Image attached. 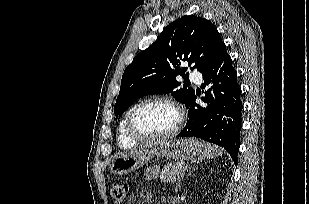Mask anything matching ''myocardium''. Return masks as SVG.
Here are the masks:
<instances>
[{"label": "myocardium", "mask_w": 309, "mask_h": 204, "mask_svg": "<svg viewBox=\"0 0 309 204\" xmlns=\"http://www.w3.org/2000/svg\"><path fill=\"white\" fill-rule=\"evenodd\" d=\"M153 103H159V104H165L173 108L177 114V121L175 125L167 132L160 134V135H147L135 127V116L138 113L140 109H142L144 106L153 104ZM184 122V112L182 108L173 100L166 98V97H153L148 98L145 100H142L141 102L137 103L128 113L127 120H126V132L127 135L137 141V142H155V141H161L166 138L174 136L182 127Z\"/></svg>", "instance_id": "f54148a6"}]
</instances>
